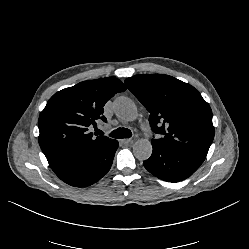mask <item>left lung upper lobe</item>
<instances>
[{"mask_svg": "<svg viewBox=\"0 0 249 249\" xmlns=\"http://www.w3.org/2000/svg\"><path fill=\"white\" fill-rule=\"evenodd\" d=\"M127 88L150 113L153 139L164 146L206 157L214 139L212 111L191 85L164 74L136 75Z\"/></svg>", "mask_w": 249, "mask_h": 249, "instance_id": "left-lung-upper-lobe-1", "label": "left lung upper lobe"}]
</instances>
